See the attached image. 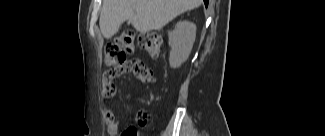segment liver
I'll return each instance as SVG.
<instances>
[{"instance_id": "obj_1", "label": "liver", "mask_w": 325, "mask_h": 136, "mask_svg": "<svg viewBox=\"0 0 325 136\" xmlns=\"http://www.w3.org/2000/svg\"><path fill=\"white\" fill-rule=\"evenodd\" d=\"M203 0H103L99 25L110 39L123 22L141 33L160 30L178 15L199 7Z\"/></svg>"}]
</instances>
